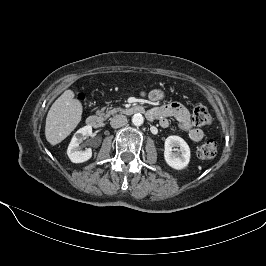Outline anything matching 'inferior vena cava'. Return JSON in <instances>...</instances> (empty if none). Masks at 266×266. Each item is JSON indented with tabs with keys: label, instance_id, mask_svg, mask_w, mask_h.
I'll use <instances>...</instances> for the list:
<instances>
[{
	"label": "inferior vena cava",
	"instance_id": "602c4592",
	"mask_svg": "<svg viewBox=\"0 0 266 266\" xmlns=\"http://www.w3.org/2000/svg\"><path fill=\"white\" fill-rule=\"evenodd\" d=\"M127 124V118L124 115H116L111 118L110 125L112 128H120Z\"/></svg>",
	"mask_w": 266,
	"mask_h": 266
}]
</instances>
